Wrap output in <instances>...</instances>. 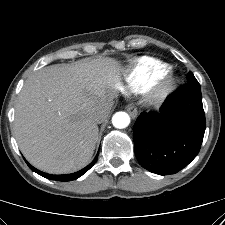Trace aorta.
I'll list each match as a JSON object with an SVG mask.
<instances>
[{
	"label": "aorta",
	"mask_w": 225,
	"mask_h": 225,
	"mask_svg": "<svg viewBox=\"0 0 225 225\" xmlns=\"http://www.w3.org/2000/svg\"><path fill=\"white\" fill-rule=\"evenodd\" d=\"M112 124L118 129L126 128L130 124V116L126 112H116L112 117Z\"/></svg>",
	"instance_id": "762f6f07"
}]
</instances>
